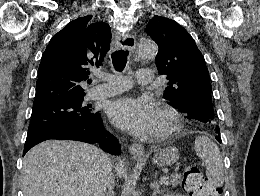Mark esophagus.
Wrapping results in <instances>:
<instances>
[{
  "instance_id": "34e87169",
  "label": "esophagus",
  "mask_w": 260,
  "mask_h": 196,
  "mask_svg": "<svg viewBox=\"0 0 260 196\" xmlns=\"http://www.w3.org/2000/svg\"><path fill=\"white\" fill-rule=\"evenodd\" d=\"M123 42H125L123 44ZM136 46V41L133 37V35H126L123 37L122 44L120 45V48L126 49V50H134ZM129 152L134 158H140L143 159L145 157L144 155V146L140 143H133L129 147Z\"/></svg>"
}]
</instances>
